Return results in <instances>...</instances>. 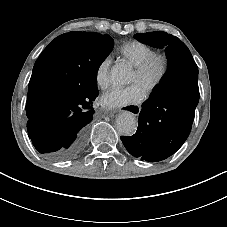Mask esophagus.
Instances as JSON below:
<instances>
[{"label":"esophagus","instance_id":"1","mask_svg":"<svg viewBox=\"0 0 227 227\" xmlns=\"http://www.w3.org/2000/svg\"><path fill=\"white\" fill-rule=\"evenodd\" d=\"M141 106L139 105H132L129 103H124L123 106L119 107L120 113H132L133 115H138L140 113Z\"/></svg>","mask_w":227,"mask_h":227}]
</instances>
